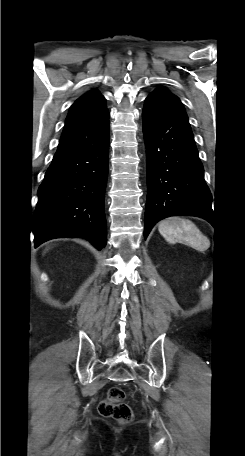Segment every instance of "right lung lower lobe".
<instances>
[{
  "label": "right lung lower lobe",
  "mask_w": 245,
  "mask_h": 456,
  "mask_svg": "<svg viewBox=\"0 0 245 456\" xmlns=\"http://www.w3.org/2000/svg\"><path fill=\"white\" fill-rule=\"evenodd\" d=\"M109 128L108 123L92 144L54 155L38 190L33 216L35 247L66 237L88 239L98 250L106 245Z\"/></svg>",
  "instance_id": "right-lung-lower-lobe-1"
}]
</instances>
